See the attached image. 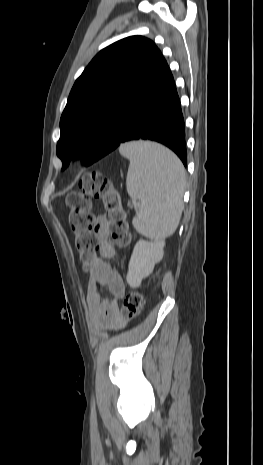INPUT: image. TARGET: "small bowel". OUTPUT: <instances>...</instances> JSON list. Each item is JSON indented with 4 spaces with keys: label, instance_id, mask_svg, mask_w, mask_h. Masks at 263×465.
<instances>
[{
    "label": "small bowel",
    "instance_id": "1",
    "mask_svg": "<svg viewBox=\"0 0 263 465\" xmlns=\"http://www.w3.org/2000/svg\"><path fill=\"white\" fill-rule=\"evenodd\" d=\"M99 256L95 260L88 280L87 314L96 328L113 327L115 334H134V322H119V299L125 293V284L120 273L111 267L106 259L115 256V248L108 239L103 225L97 228ZM106 288L111 298L103 297L99 291Z\"/></svg>",
    "mask_w": 263,
    "mask_h": 465
}]
</instances>
